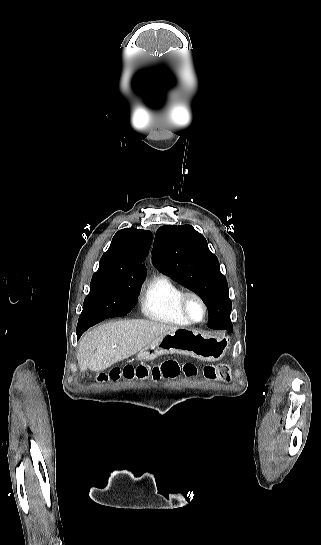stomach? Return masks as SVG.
<instances>
[{
	"label": "stomach",
	"instance_id": "stomach-1",
	"mask_svg": "<svg viewBox=\"0 0 321 545\" xmlns=\"http://www.w3.org/2000/svg\"><path fill=\"white\" fill-rule=\"evenodd\" d=\"M231 337L228 333L203 335L192 329H177L173 333L161 335L138 353V361H154L160 355H189L200 361H220L230 349Z\"/></svg>",
	"mask_w": 321,
	"mask_h": 545
}]
</instances>
